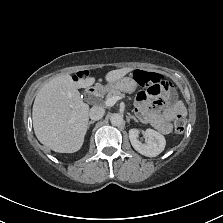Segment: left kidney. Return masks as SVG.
Returning <instances> with one entry per match:
<instances>
[{"mask_svg":"<svg viewBox=\"0 0 223 223\" xmlns=\"http://www.w3.org/2000/svg\"><path fill=\"white\" fill-rule=\"evenodd\" d=\"M139 130H129V139L136 151L147 157H155L159 155L165 148V137L153 129H147L144 134L147 137V143L142 144L138 139Z\"/></svg>","mask_w":223,"mask_h":223,"instance_id":"5707ae66","label":"left kidney"}]
</instances>
